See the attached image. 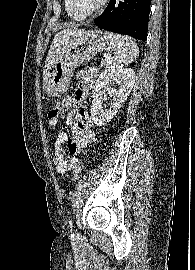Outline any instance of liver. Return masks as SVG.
<instances>
[{
  "mask_svg": "<svg viewBox=\"0 0 195 270\" xmlns=\"http://www.w3.org/2000/svg\"><path fill=\"white\" fill-rule=\"evenodd\" d=\"M76 31H79V30L77 29V27H76V26H71V27H68V28H66V29H63L62 31L58 32V33L55 35V37H54V39H53V42H52V44H51V46H50V50H49V52H48V55H47V57H46V64H47L51 59L54 58L55 52H56L57 47H58V42L61 40V38L64 37L65 35H70V34L76 32Z\"/></svg>",
  "mask_w": 195,
  "mask_h": 270,
  "instance_id": "liver-1",
  "label": "liver"
}]
</instances>
